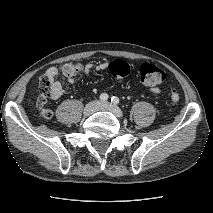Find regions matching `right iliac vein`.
<instances>
[{"instance_id":"63e3f726","label":"right iliac vein","mask_w":213,"mask_h":213,"mask_svg":"<svg viewBox=\"0 0 213 213\" xmlns=\"http://www.w3.org/2000/svg\"><path fill=\"white\" fill-rule=\"evenodd\" d=\"M99 106H100L99 101H92L85 106L83 114L85 116H90L99 109Z\"/></svg>"}]
</instances>
